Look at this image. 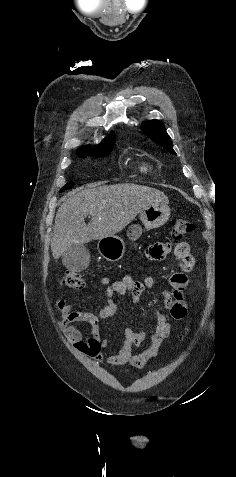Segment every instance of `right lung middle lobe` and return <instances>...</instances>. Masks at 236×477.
I'll return each instance as SVG.
<instances>
[{
  "instance_id": "right-lung-middle-lobe-1",
  "label": "right lung middle lobe",
  "mask_w": 236,
  "mask_h": 477,
  "mask_svg": "<svg viewBox=\"0 0 236 477\" xmlns=\"http://www.w3.org/2000/svg\"><path fill=\"white\" fill-rule=\"evenodd\" d=\"M111 150L112 149H105V150H101L99 152H95L93 154H94L95 157H104V156H107L111 152ZM73 186H74L73 183H67L64 187L61 188L60 192L66 190V189H69Z\"/></svg>"
}]
</instances>
